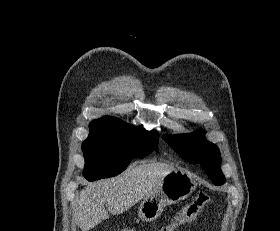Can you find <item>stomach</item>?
I'll return each mask as SVG.
<instances>
[{"label": "stomach", "instance_id": "0dacf381", "mask_svg": "<svg viewBox=\"0 0 280 231\" xmlns=\"http://www.w3.org/2000/svg\"><path fill=\"white\" fill-rule=\"evenodd\" d=\"M196 185L195 177L188 169L183 167L173 169L141 201L138 217L143 221H154L161 215L165 205L186 199L196 189Z\"/></svg>", "mask_w": 280, "mask_h": 231}]
</instances>
